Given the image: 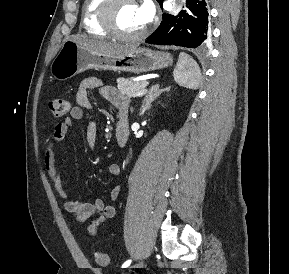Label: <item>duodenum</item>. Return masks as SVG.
<instances>
[{
  "label": "duodenum",
  "instance_id": "410a0bca",
  "mask_svg": "<svg viewBox=\"0 0 289 274\" xmlns=\"http://www.w3.org/2000/svg\"><path fill=\"white\" fill-rule=\"evenodd\" d=\"M129 135V120L127 113H121L115 129V138L120 147L125 146Z\"/></svg>",
  "mask_w": 289,
  "mask_h": 274
}]
</instances>
